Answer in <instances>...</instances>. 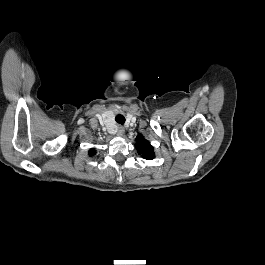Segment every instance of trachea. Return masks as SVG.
<instances>
[{"label":"trachea","instance_id":"trachea-1","mask_svg":"<svg viewBox=\"0 0 265 265\" xmlns=\"http://www.w3.org/2000/svg\"><path fill=\"white\" fill-rule=\"evenodd\" d=\"M117 123L123 125L125 123V117L122 114H117L115 117Z\"/></svg>","mask_w":265,"mask_h":265}]
</instances>
